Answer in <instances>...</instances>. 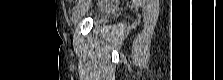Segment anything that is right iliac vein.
Instances as JSON below:
<instances>
[{"mask_svg": "<svg viewBox=\"0 0 223 80\" xmlns=\"http://www.w3.org/2000/svg\"><path fill=\"white\" fill-rule=\"evenodd\" d=\"M88 7H89L88 2L82 3L79 6H77L72 17V21L74 24H76L83 17Z\"/></svg>", "mask_w": 223, "mask_h": 80, "instance_id": "63e3f726", "label": "right iliac vein"}]
</instances>
